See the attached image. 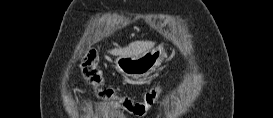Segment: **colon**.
I'll list each match as a JSON object with an SVG mask.
<instances>
[{
	"label": "colon",
	"instance_id": "1",
	"mask_svg": "<svg viewBox=\"0 0 273 118\" xmlns=\"http://www.w3.org/2000/svg\"><path fill=\"white\" fill-rule=\"evenodd\" d=\"M82 71L88 85L97 92L102 99H114V91L104 86V79L101 70L97 65V58L94 50L89 49L85 52L82 61ZM162 94V87L157 85L150 89L142 100L136 101L129 97L117 98L119 104L130 114L141 117L144 116L158 101Z\"/></svg>",
	"mask_w": 273,
	"mask_h": 118
}]
</instances>
